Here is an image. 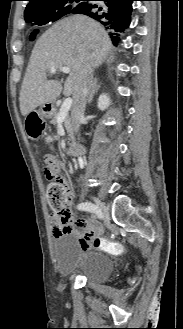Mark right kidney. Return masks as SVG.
Listing matches in <instances>:
<instances>
[{
  "label": "right kidney",
  "mask_w": 183,
  "mask_h": 329,
  "mask_svg": "<svg viewBox=\"0 0 183 329\" xmlns=\"http://www.w3.org/2000/svg\"><path fill=\"white\" fill-rule=\"evenodd\" d=\"M110 105V98L107 94L102 93L98 98L97 106L101 111L106 110Z\"/></svg>",
  "instance_id": "obj_1"
}]
</instances>
